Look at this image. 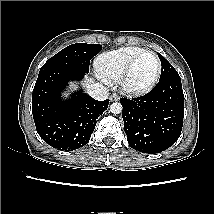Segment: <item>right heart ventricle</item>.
<instances>
[{
	"label": "right heart ventricle",
	"mask_w": 214,
	"mask_h": 214,
	"mask_svg": "<svg viewBox=\"0 0 214 214\" xmlns=\"http://www.w3.org/2000/svg\"><path fill=\"white\" fill-rule=\"evenodd\" d=\"M144 50L141 47L131 46L103 53L95 61L96 71L104 81L117 82L128 63Z\"/></svg>",
	"instance_id": "right-heart-ventricle-1"
}]
</instances>
